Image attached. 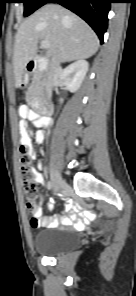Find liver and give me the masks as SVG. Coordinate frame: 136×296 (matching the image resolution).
Returning <instances> with one entry per match:
<instances>
[{
  "mask_svg": "<svg viewBox=\"0 0 136 296\" xmlns=\"http://www.w3.org/2000/svg\"><path fill=\"white\" fill-rule=\"evenodd\" d=\"M50 43L48 57L60 62L82 60L94 55L99 39L91 27L76 14L57 4H46L19 27L14 45L15 87H19L26 65L37 53L38 41Z\"/></svg>",
  "mask_w": 136,
  "mask_h": 296,
  "instance_id": "obj_1",
  "label": "liver"
}]
</instances>
